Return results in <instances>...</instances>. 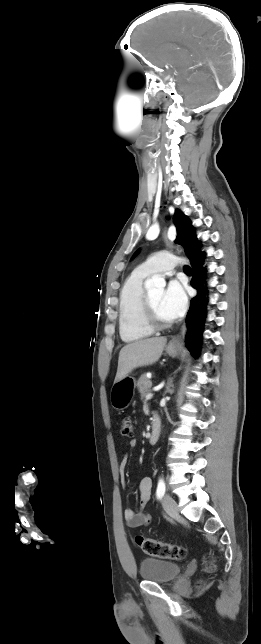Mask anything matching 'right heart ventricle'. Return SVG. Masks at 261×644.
<instances>
[{"instance_id": "right-heart-ventricle-1", "label": "right heart ventricle", "mask_w": 261, "mask_h": 644, "mask_svg": "<svg viewBox=\"0 0 261 644\" xmlns=\"http://www.w3.org/2000/svg\"><path fill=\"white\" fill-rule=\"evenodd\" d=\"M148 274L139 269L125 280L119 298V334L126 343L140 341L153 332L143 318L144 280Z\"/></svg>"}]
</instances>
